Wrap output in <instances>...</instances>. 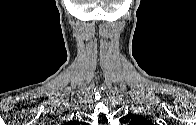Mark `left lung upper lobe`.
Returning <instances> with one entry per match:
<instances>
[{
    "instance_id": "left-lung-upper-lobe-1",
    "label": "left lung upper lobe",
    "mask_w": 196,
    "mask_h": 125,
    "mask_svg": "<svg viewBox=\"0 0 196 125\" xmlns=\"http://www.w3.org/2000/svg\"><path fill=\"white\" fill-rule=\"evenodd\" d=\"M145 123H148V121L142 117H134L131 120V125H145Z\"/></svg>"
}]
</instances>
